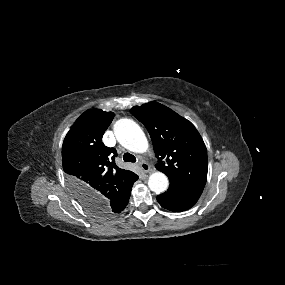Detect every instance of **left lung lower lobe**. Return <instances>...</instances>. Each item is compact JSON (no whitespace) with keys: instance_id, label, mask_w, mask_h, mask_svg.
I'll return each instance as SVG.
<instances>
[{"instance_id":"obj_1","label":"left lung lower lobe","mask_w":285,"mask_h":285,"mask_svg":"<svg viewBox=\"0 0 285 285\" xmlns=\"http://www.w3.org/2000/svg\"><path fill=\"white\" fill-rule=\"evenodd\" d=\"M203 189L170 181L167 192L158 195L159 204L170 211H185L193 207L202 194Z\"/></svg>"}]
</instances>
